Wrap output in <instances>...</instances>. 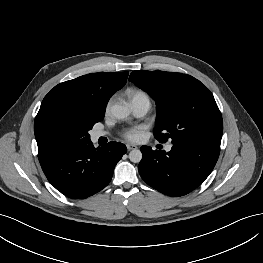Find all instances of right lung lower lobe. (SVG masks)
I'll return each instance as SVG.
<instances>
[{
  "mask_svg": "<svg viewBox=\"0 0 263 263\" xmlns=\"http://www.w3.org/2000/svg\"><path fill=\"white\" fill-rule=\"evenodd\" d=\"M126 152V146L119 142H109L99 149L89 140L67 147L40 164L56 189L70 198L82 199L109 184L116 164Z\"/></svg>",
  "mask_w": 263,
  "mask_h": 263,
  "instance_id": "1",
  "label": "right lung lower lobe"
}]
</instances>
